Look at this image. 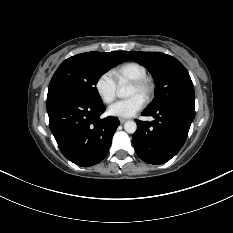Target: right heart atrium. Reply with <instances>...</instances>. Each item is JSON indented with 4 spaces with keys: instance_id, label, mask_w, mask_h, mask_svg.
<instances>
[{
    "instance_id": "1",
    "label": "right heart atrium",
    "mask_w": 233,
    "mask_h": 233,
    "mask_svg": "<svg viewBox=\"0 0 233 233\" xmlns=\"http://www.w3.org/2000/svg\"><path fill=\"white\" fill-rule=\"evenodd\" d=\"M94 89L99 98L106 104L111 103L117 92V86L109 73H103L96 79Z\"/></svg>"
}]
</instances>
